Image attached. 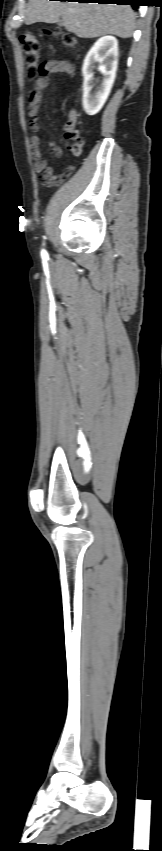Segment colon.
Listing matches in <instances>:
<instances>
[{
    "instance_id": "5ec220e1",
    "label": "colon",
    "mask_w": 162,
    "mask_h": 851,
    "mask_svg": "<svg viewBox=\"0 0 162 851\" xmlns=\"http://www.w3.org/2000/svg\"><path fill=\"white\" fill-rule=\"evenodd\" d=\"M51 33L58 34V31L53 30ZM19 40L24 63L26 65V75L29 79H35L42 73V64L39 63V41L31 32L23 33ZM61 41L67 48H74L77 45L76 39L70 34L61 35ZM66 131L68 137L74 140V151H79L82 147L83 141L76 129L73 118L67 122ZM63 178V175H54L52 180L55 184H58L63 180Z\"/></svg>"
}]
</instances>
